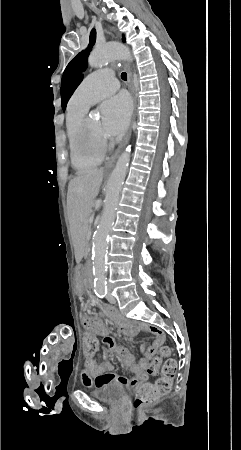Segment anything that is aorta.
<instances>
[{
  "instance_id": "1",
  "label": "aorta",
  "mask_w": 241,
  "mask_h": 450,
  "mask_svg": "<svg viewBox=\"0 0 241 450\" xmlns=\"http://www.w3.org/2000/svg\"><path fill=\"white\" fill-rule=\"evenodd\" d=\"M119 58L131 60L129 48L120 43H107L93 50L88 63L93 68H100ZM130 151V147H127L121 154L109 177L102 215L93 236L92 264L96 286H103L106 283L108 236L114 224L116 209L129 167Z\"/></svg>"
}]
</instances>
